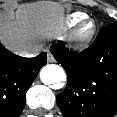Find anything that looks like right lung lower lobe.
<instances>
[{
	"label": "right lung lower lobe",
	"instance_id": "1",
	"mask_svg": "<svg viewBox=\"0 0 117 117\" xmlns=\"http://www.w3.org/2000/svg\"><path fill=\"white\" fill-rule=\"evenodd\" d=\"M45 52L24 58L0 44V117H18L26 102V92L40 68L46 64Z\"/></svg>",
	"mask_w": 117,
	"mask_h": 117
}]
</instances>
